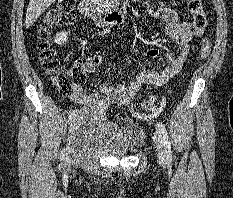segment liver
I'll return each mask as SVG.
<instances>
[{
  "label": "liver",
  "instance_id": "6515ba94",
  "mask_svg": "<svg viewBox=\"0 0 233 198\" xmlns=\"http://www.w3.org/2000/svg\"><path fill=\"white\" fill-rule=\"evenodd\" d=\"M56 0H30L27 7L25 25L29 29L38 17Z\"/></svg>",
  "mask_w": 233,
  "mask_h": 198
}]
</instances>
